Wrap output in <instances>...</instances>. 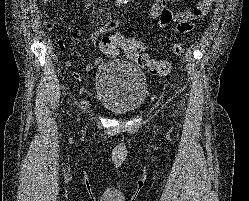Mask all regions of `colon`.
<instances>
[{
	"label": "colon",
	"instance_id": "obj_1",
	"mask_svg": "<svg viewBox=\"0 0 249 201\" xmlns=\"http://www.w3.org/2000/svg\"><path fill=\"white\" fill-rule=\"evenodd\" d=\"M99 46L107 56H115L119 51H123L129 59L146 68L153 75L164 76L171 71L169 61L155 60L149 57L145 51V45L140 39L113 34L104 36L99 41ZM184 51L185 43L183 42H176L172 47L175 56H181Z\"/></svg>",
	"mask_w": 249,
	"mask_h": 201
}]
</instances>
